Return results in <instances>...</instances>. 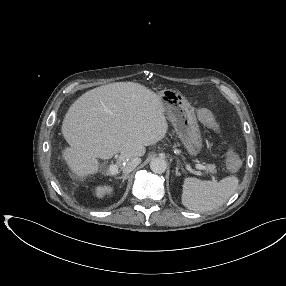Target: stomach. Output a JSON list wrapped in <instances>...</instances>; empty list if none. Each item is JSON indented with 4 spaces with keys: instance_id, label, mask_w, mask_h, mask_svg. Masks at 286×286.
I'll list each match as a JSON object with an SVG mask.
<instances>
[{
    "instance_id": "obj_1",
    "label": "stomach",
    "mask_w": 286,
    "mask_h": 286,
    "mask_svg": "<svg viewBox=\"0 0 286 286\" xmlns=\"http://www.w3.org/2000/svg\"><path fill=\"white\" fill-rule=\"evenodd\" d=\"M167 118L176 134L191 156H197L202 149V137L194 109L177 90L165 89L158 93Z\"/></svg>"
}]
</instances>
